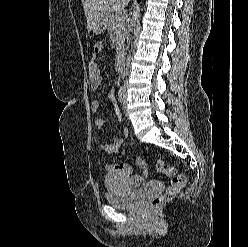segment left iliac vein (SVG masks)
Returning <instances> with one entry per match:
<instances>
[{"label": "left iliac vein", "instance_id": "left-iliac-vein-1", "mask_svg": "<svg viewBox=\"0 0 248 247\" xmlns=\"http://www.w3.org/2000/svg\"><path fill=\"white\" fill-rule=\"evenodd\" d=\"M123 109L124 112L127 114V94L124 93V98H123Z\"/></svg>", "mask_w": 248, "mask_h": 247}]
</instances>
